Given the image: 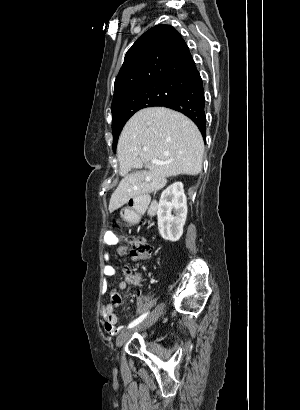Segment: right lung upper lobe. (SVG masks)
<instances>
[{
    "label": "right lung upper lobe",
    "instance_id": "1",
    "mask_svg": "<svg viewBox=\"0 0 300 410\" xmlns=\"http://www.w3.org/2000/svg\"><path fill=\"white\" fill-rule=\"evenodd\" d=\"M197 72L188 46L170 25L145 32L127 51L116 77L112 113L119 96L130 89L166 82L187 83Z\"/></svg>",
    "mask_w": 300,
    "mask_h": 410
}]
</instances>
